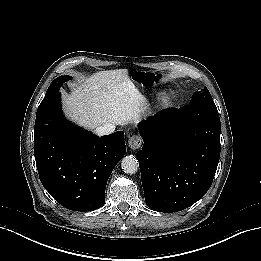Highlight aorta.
<instances>
[{
  "instance_id": "aorta-1",
  "label": "aorta",
  "mask_w": 261,
  "mask_h": 261,
  "mask_svg": "<svg viewBox=\"0 0 261 261\" xmlns=\"http://www.w3.org/2000/svg\"><path fill=\"white\" fill-rule=\"evenodd\" d=\"M121 168L127 174H135L139 170V162L134 156H126L121 161Z\"/></svg>"
}]
</instances>
